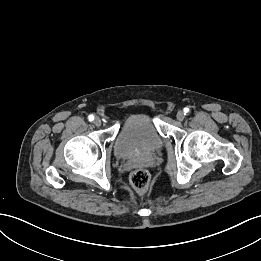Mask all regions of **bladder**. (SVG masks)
Returning <instances> with one entry per match:
<instances>
[{"instance_id":"obj_1","label":"bladder","mask_w":261,"mask_h":261,"mask_svg":"<svg viewBox=\"0 0 261 261\" xmlns=\"http://www.w3.org/2000/svg\"><path fill=\"white\" fill-rule=\"evenodd\" d=\"M164 141L152 116L146 112L130 115L123 123L114 142V155L128 158L136 154L154 153Z\"/></svg>"}]
</instances>
